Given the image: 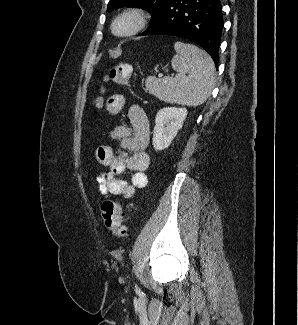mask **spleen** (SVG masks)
<instances>
[{"mask_svg": "<svg viewBox=\"0 0 298 325\" xmlns=\"http://www.w3.org/2000/svg\"><path fill=\"white\" fill-rule=\"evenodd\" d=\"M171 64L176 70L175 76H147L145 86L150 94L170 104L199 106L211 94L215 78L214 62L205 52L194 44L177 40L174 44Z\"/></svg>", "mask_w": 298, "mask_h": 325, "instance_id": "1", "label": "spleen"}]
</instances>
